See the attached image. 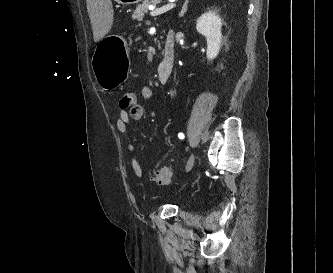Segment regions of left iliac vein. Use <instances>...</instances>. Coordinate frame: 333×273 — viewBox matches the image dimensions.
<instances>
[{
    "instance_id": "obj_1",
    "label": "left iliac vein",
    "mask_w": 333,
    "mask_h": 273,
    "mask_svg": "<svg viewBox=\"0 0 333 273\" xmlns=\"http://www.w3.org/2000/svg\"><path fill=\"white\" fill-rule=\"evenodd\" d=\"M194 162H195V155L191 154L190 158L188 159L187 166H186L187 171H189L193 167Z\"/></svg>"
}]
</instances>
